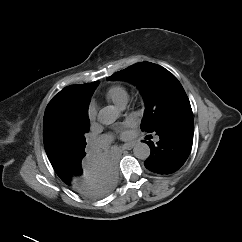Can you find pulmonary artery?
<instances>
[{
	"label": "pulmonary artery",
	"instance_id": "e3ab8cb5",
	"mask_svg": "<svg viewBox=\"0 0 242 242\" xmlns=\"http://www.w3.org/2000/svg\"><path fill=\"white\" fill-rule=\"evenodd\" d=\"M126 105V103L122 104L120 106V108H124ZM112 140L111 136L109 135H105V136H102L101 138L97 139L96 141L92 142L91 144V147L93 149H100L102 148L103 146L107 145L110 141Z\"/></svg>",
	"mask_w": 242,
	"mask_h": 242
}]
</instances>
